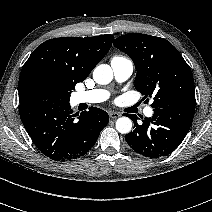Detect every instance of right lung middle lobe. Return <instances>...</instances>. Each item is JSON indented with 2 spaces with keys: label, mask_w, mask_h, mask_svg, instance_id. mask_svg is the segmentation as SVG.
Returning <instances> with one entry per match:
<instances>
[{
  "label": "right lung middle lobe",
  "mask_w": 212,
  "mask_h": 212,
  "mask_svg": "<svg viewBox=\"0 0 212 212\" xmlns=\"http://www.w3.org/2000/svg\"><path fill=\"white\" fill-rule=\"evenodd\" d=\"M69 90L58 88L50 81H38L31 84L25 95L27 102L52 101L67 103L70 100Z\"/></svg>",
  "instance_id": "right-lung-middle-lobe-1"
}]
</instances>
